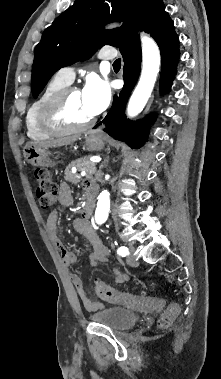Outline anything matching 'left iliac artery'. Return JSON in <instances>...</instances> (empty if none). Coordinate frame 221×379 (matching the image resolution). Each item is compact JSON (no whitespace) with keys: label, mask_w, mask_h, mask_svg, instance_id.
Returning <instances> with one entry per match:
<instances>
[{"label":"left iliac artery","mask_w":221,"mask_h":379,"mask_svg":"<svg viewBox=\"0 0 221 379\" xmlns=\"http://www.w3.org/2000/svg\"><path fill=\"white\" fill-rule=\"evenodd\" d=\"M117 253H118V255L125 257V256L129 255V250L127 247L121 246L117 249Z\"/></svg>","instance_id":"1"}]
</instances>
